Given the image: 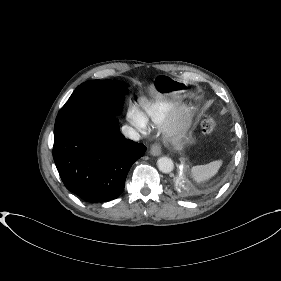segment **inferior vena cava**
Returning a JSON list of instances; mask_svg holds the SVG:
<instances>
[{
  "label": "inferior vena cava",
  "mask_w": 281,
  "mask_h": 281,
  "mask_svg": "<svg viewBox=\"0 0 281 281\" xmlns=\"http://www.w3.org/2000/svg\"><path fill=\"white\" fill-rule=\"evenodd\" d=\"M121 132L126 138H129L131 140L138 141L140 139L139 133L130 126L127 125L123 126L121 128Z\"/></svg>",
  "instance_id": "602c4592"
}]
</instances>
